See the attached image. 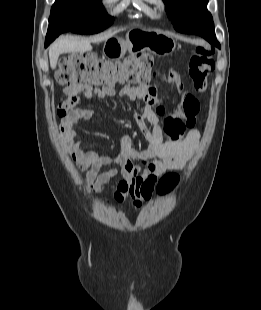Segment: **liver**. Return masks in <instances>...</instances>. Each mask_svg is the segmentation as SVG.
<instances>
[{
    "instance_id": "1",
    "label": "liver",
    "mask_w": 261,
    "mask_h": 310,
    "mask_svg": "<svg viewBox=\"0 0 261 310\" xmlns=\"http://www.w3.org/2000/svg\"><path fill=\"white\" fill-rule=\"evenodd\" d=\"M114 33H108L104 36L92 39H83L78 37H63L54 42L49 48L50 67L55 69L58 58L63 53H84L92 50L91 42H100L109 39Z\"/></svg>"
}]
</instances>
